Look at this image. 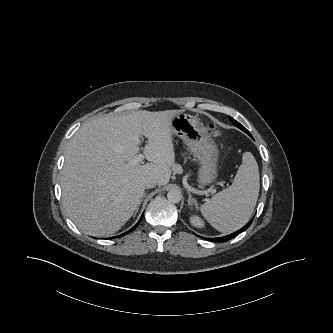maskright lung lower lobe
<instances>
[{"instance_id":"right-lung-lower-lobe-1","label":"right lung lower lobe","mask_w":333,"mask_h":333,"mask_svg":"<svg viewBox=\"0 0 333 333\" xmlns=\"http://www.w3.org/2000/svg\"><path fill=\"white\" fill-rule=\"evenodd\" d=\"M141 219H142V217L140 218V220L138 221V223H137L133 228H131L129 231H127V232L121 234L120 236L126 235V234H128L129 232H131L134 228H136V227L138 226V224L140 223Z\"/></svg>"}]
</instances>
